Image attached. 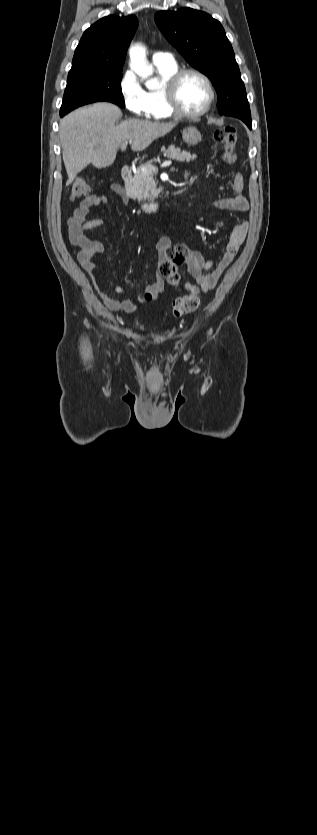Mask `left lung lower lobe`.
I'll return each instance as SVG.
<instances>
[{"instance_id":"1","label":"left lung lower lobe","mask_w":317,"mask_h":835,"mask_svg":"<svg viewBox=\"0 0 317 835\" xmlns=\"http://www.w3.org/2000/svg\"><path fill=\"white\" fill-rule=\"evenodd\" d=\"M251 129V119L242 120Z\"/></svg>"}]
</instances>
